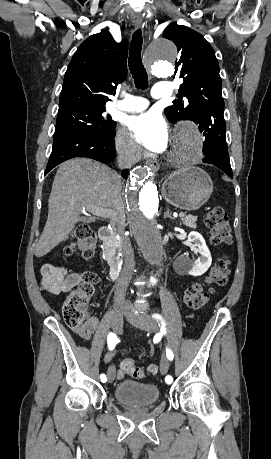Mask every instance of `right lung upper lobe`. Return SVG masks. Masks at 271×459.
<instances>
[{
    "mask_svg": "<svg viewBox=\"0 0 271 459\" xmlns=\"http://www.w3.org/2000/svg\"><path fill=\"white\" fill-rule=\"evenodd\" d=\"M127 41L116 43L108 31L87 38L73 55L64 76L59 110L105 108L116 85L127 77Z\"/></svg>",
    "mask_w": 271,
    "mask_h": 459,
    "instance_id": "1",
    "label": "right lung upper lobe"
}]
</instances>
